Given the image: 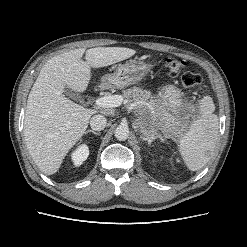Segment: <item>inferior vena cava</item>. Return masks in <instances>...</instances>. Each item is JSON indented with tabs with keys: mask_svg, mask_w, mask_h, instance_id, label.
<instances>
[{
	"mask_svg": "<svg viewBox=\"0 0 247 247\" xmlns=\"http://www.w3.org/2000/svg\"><path fill=\"white\" fill-rule=\"evenodd\" d=\"M107 123L106 118L103 115H94L91 119H90V126L93 130L96 131H101L105 128Z\"/></svg>",
	"mask_w": 247,
	"mask_h": 247,
	"instance_id": "602c4592",
	"label": "inferior vena cava"
}]
</instances>
